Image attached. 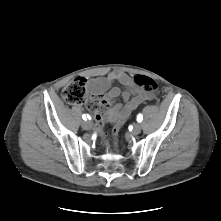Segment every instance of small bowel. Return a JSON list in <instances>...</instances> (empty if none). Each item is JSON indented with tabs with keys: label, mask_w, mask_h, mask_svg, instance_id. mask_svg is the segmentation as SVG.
Segmentation results:
<instances>
[{
	"label": "small bowel",
	"mask_w": 221,
	"mask_h": 221,
	"mask_svg": "<svg viewBox=\"0 0 221 221\" xmlns=\"http://www.w3.org/2000/svg\"><path fill=\"white\" fill-rule=\"evenodd\" d=\"M136 76L140 75L130 76L115 70L106 77L86 80L92 96L89 108L97 125L103 121L122 124L140 104L155 97L154 93L147 92L134 83ZM114 82L122 84L124 91L121 92L119 87H111ZM120 95L124 104L115 103V99Z\"/></svg>",
	"instance_id": "c3829d8e"
}]
</instances>
